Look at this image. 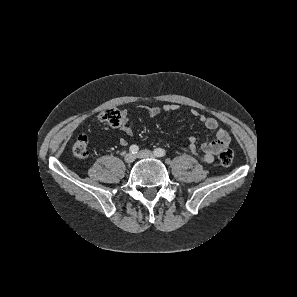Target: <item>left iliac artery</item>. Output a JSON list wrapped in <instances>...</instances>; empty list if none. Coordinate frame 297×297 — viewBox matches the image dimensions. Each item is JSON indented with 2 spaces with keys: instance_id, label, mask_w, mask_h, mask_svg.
Instances as JSON below:
<instances>
[{
  "instance_id": "left-iliac-artery-1",
  "label": "left iliac artery",
  "mask_w": 297,
  "mask_h": 297,
  "mask_svg": "<svg viewBox=\"0 0 297 297\" xmlns=\"http://www.w3.org/2000/svg\"><path fill=\"white\" fill-rule=\"evenodd\" d=\"M154 154L157 156V157H163L166 155V151L162 148H157L154 150Z\"/></svg>"
}]
</instances>
